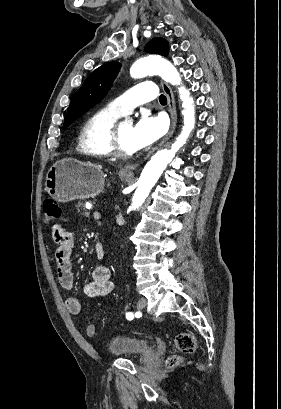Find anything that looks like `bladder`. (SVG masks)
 I'll list each match as a JSON object with an SVG mask.
<instances>
[{"instance_id": "bladder-1", "label": "bladder", "mask_w": 281, "mask_h": 409, "mask_svg": "<svg viewBox=\"0 0 281 409\" xmlns=\"http://www.w3.org/2000/svg\"><path fill=\"white\" fill-rule=\"evenodd\" d=\"M105 351L110 356L122 359H134V355H155L149 341L128 334L110 336L106 341Z\"/></svg>"}]
</instances>
